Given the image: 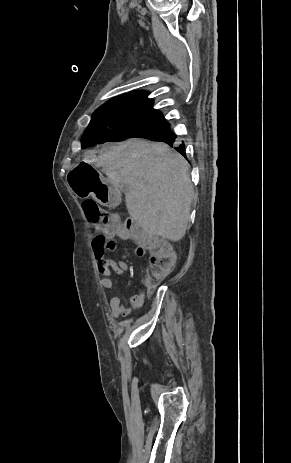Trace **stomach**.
Returning <instances> with one entry per match:
<instances>
[{"instance_id": "0dacf381", "label": "stomach", "mask_w": 291, "mask_h": 463, "mask_svg": "<svg viewBox=\"0 0 291 463\" xmlns=\"http://www.w3.org/2000/svg\"><path fill=\"white\" fill-rule=\"evenodd\" d=\"M69 185L74 193L85 198L92 196L103 206H114L119 202L118 188L104 179L89 164H81L68 174Z\"/></svg>"}]
</instances>
